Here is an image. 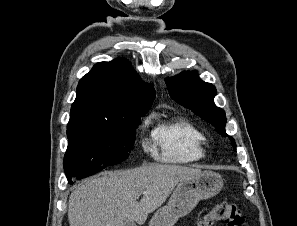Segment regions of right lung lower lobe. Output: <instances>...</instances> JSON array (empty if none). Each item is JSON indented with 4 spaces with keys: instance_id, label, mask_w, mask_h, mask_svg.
Returning <instances> with one entry per match:
<instances>
[{
    "instance_id": "right-lung-lower-lobe-1",
    "label": "right lung lower lobe",
    "mask_w": 297,
    "mask_h": 226,
    "mask_svg": "<svg viewBox=\"0 0 297 226\" xmlns=\"http://www.w3.org/2000/svg\"><path fill=\"white\" fill-rule=\"evenodd\" d=\"M95 173H97V172H91V173H88V174H84V175L78 176L77 179H81V178H84L86 176H89V175H92V174H95ZM73 182H74L73 179L72 180H68V183H70V184H73Z\"/></svg>"
}]
</instances>
